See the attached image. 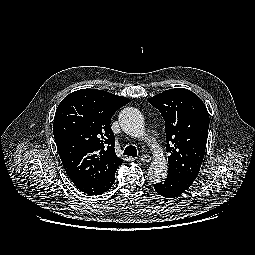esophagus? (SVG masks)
<instances>
[{"instance_id": "esophagus-1", "label": "esophagus", "mask_w": 255, "mask_h": 255, "mask_svg": "<svg viewBox=\"0 0 255 255\" xmlns=\"http://www.w3.org/2000/svg\"><path fill=\"white\" fill-rule=\"evenodd\" d=\"M140 160H141L142 162L148 163V162L151 161V157H150L149 155H147V154H144V155H141V156H140Z\"/></svg>"}]
</instances>
